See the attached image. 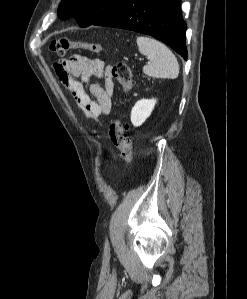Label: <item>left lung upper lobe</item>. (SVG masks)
Here are the masks:
<instances>
[{
  "instance_id": "1",
  "label": "left lung upper lobe",
  "mask_w": 247,
  "mask_h": 299,
  "mask_svg": "<svg viewBox=\"0 0 247 299\" xmlns=\"http://www.w3.org/2000/svg\"><path fill=\"white\" fill-rule=\"evenodd\" d=\"M121 0H61L58 15L62 19L75 17L81 27L92 25Z\"/></svg>"
}]
</instances>
